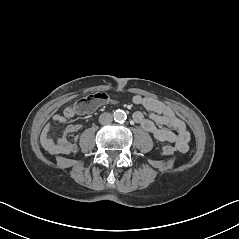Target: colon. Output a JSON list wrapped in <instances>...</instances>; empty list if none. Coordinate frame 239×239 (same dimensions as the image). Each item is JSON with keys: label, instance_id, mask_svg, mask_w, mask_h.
<instances>
[{"label": "colon", "instance_id": "obj_1", "mask_svg": "<svg viewBox=\"0 0 239 239\" xmlns=\"http://www.w3.org/2000/svg\"><path fill=\"white\" fill-rule=\"evenodd\" d=\"M109 100V96L104 92L91 94L82 98L75 106H73L72 111L75 112L81 109H93L108 103ZM162 152L165 155L170 156L174 154V148L172 146L167 145L162 148Z\"/></svg>", "mask_w": 239, "mask_h": 239}]
</instances>
